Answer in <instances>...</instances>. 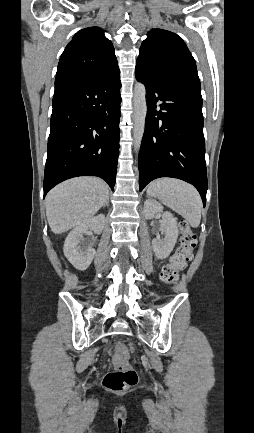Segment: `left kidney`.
Here are the masks:
<instances>
[{"instance_id": "1", "label": "left kidney", "mask_w": 254, "mask_h": 433, "mask_svg": "<svg viewBox=\"0 0 254 433\" xmlns=\"http://www.w3.org/2000/svg\"><path fill=\"white\" fill-rule=\"evenodd\" d=\"M157 213H162L161 230L165 237L163 240L153 239L152 247L158 259L167 258L172 252L177 238V219L170 212H163V206L153 199L144 202V215L147 219H153Z\"/></svg>"}]
</instances>
